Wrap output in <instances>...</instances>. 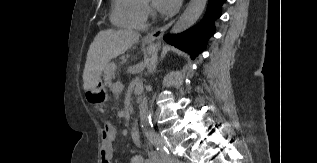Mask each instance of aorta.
<instances>
[{
	"instance_id": "1",
	"label": "aorta",
	"mask_w": 317,
	"mask_h": 163,
	"mask_svg": "<svg viewBox=\"0 0 317 163\" xmlns=\"http://www.w3.org/2000/svg\"><path fill=\"white\" fill-rule=\"evenodd\" d=\"M208 0H190L187 8L179 19L173 24L170 33L177 34L187 30L199 19L203 13ZM139 115L141 124L145 128H149L151 124V116L148 110L147 95H143L139 104Z\"/></svg>"
}]
</instances>
